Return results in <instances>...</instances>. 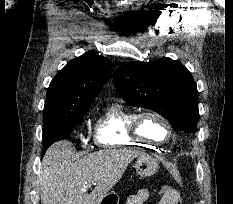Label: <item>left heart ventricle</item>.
<instances>
[{
    "instance_id": "b2bd125f",
    "label": "left heart ventricle",
    "mask_w": 233,
    "mask_h": 204,
    "mask_svg": "<svg viewBox=\"0 0 233 204\" xmlns=\"http://www.w3.org/2000/svg\"><path fill=\"white\" fill-rule=\"evenodd\" d=\"M142 131L145 135L162 140L167 136V129L165 125L156 118L147 117L141 123Z\"/></svg>"
}]
</instances>
